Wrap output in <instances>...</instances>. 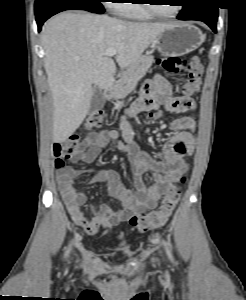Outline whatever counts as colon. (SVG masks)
Segmentation results:
<instances>
[{
    "mask_svg": "<svg viewBox=\"0 0 246 300\" xmlns=\"http://www.w3.org/2000/svg\"><path fill=\"white\" fill-rule=\"evenodd\" d=\"M161 67L169 75L178 73L186 74L187 80L182 86V93L184 95H192L199 91L204 67L197 56L190 57L189 59L166 57L161 60ZM160 116V112H154L151 118H159ZM104 121L103 111L95 110L88 115L84 126L87 129H94L100 127ZM79 144L80 138L77 135H73L63 142L56 143L53 147L55 167H64L68 160L77 155L80 151ZM185 181V176L180 175L177 181L167 190L159 208L147 213L133 215L129 220L130 224L140 231H148L165 223L179 202L181 194L180 186Z\"/></svg>",
    "mask_w": 246,
    "mask_h": 300,
    "instance_id": "5ec220e1",
    "label": "colon"
}]
</instances>
